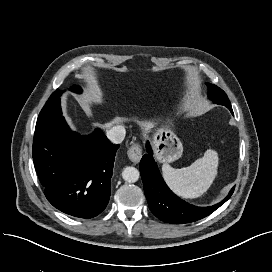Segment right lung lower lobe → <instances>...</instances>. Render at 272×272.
<instances>
[{
    "label": "right lung lower lobe",
    "instance_id": "1",
    "mask_svg": "<svg viewBox=\"0 0 272 272\" xmlns=\"http://www.w3.org/2000/svg\"><path fill=\"white\" fill-rule=\"evenodd\" d=\"M100 129L88 136L70 130L64 117L36 123L33 161L48 201L78 218H93L110 198L115 154Z\"/></svg>",
    "mask_w": 272,
    "mask_h": 272
}]
</instances>
